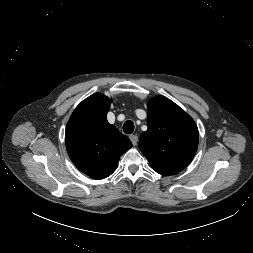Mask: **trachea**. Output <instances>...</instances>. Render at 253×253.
<instances>
[{"label":"trachea","mask_w":253,"mask_h":253,"mask_svg":"<svg viewBox=\"0 0 253 253\" xmlns=\"http://www.w3.org/2000/svg\"><path fill=\"white\" fill-rule=\"evenodd\" d=\"M134 131V123L131 120H127L123 125V132L126 134H132Z\"/></svg>","instance_id":"obj_1"}]
</instances>
